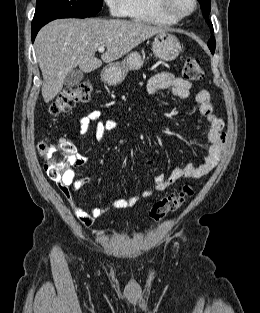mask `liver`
Listing matches in <instances>:
<instances>
[{
    "label": "liver",
    "mask_w": 260,
    "mask_h": 313,
    "mask_svg": "<svg viewBox=\"0 0 260 313\" xmlns=\"http://www.w3.org/2000/svg\"><path fill=\"white\" fill-rule=\"evenodd\" d=\"M168 29L119 19H57L38 33L34 48L43 76L45 103L61 91L66 75L79 66L89 73L102 62L111 63L148 38ZM99 46L106 47L101 59L95 57Z\"/></svg>",
    "instance_id": "1"
}]
</instances>
